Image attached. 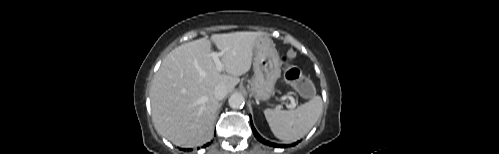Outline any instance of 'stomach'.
I'll use <instances>...</instances> for the list:
<instances>
[{"label":"stomach","mask_w":499,"mask_h":154,"mask_svg":"<svg viewBox=\"0 0 499 154\" xmlns=\"http://www.w3.org/2000/svg\"><path fill=\"white\" fill-rule=\"evenodd\" d=\"M254 76L248 91L255 99L267 101L274 93V86L281 74V64L273 41L263 35L255 41Z\"/></svg>","instance_id":"1"}]
</instances>
